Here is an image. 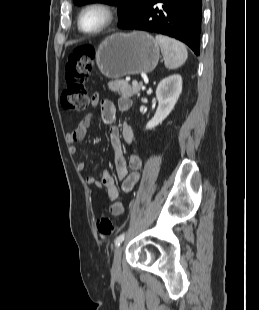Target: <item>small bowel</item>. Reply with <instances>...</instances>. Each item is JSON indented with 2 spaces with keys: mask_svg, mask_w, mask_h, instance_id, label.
<instances>
[{
  "mask_svg": "<svg viewBox=\"0 0 259 310\" xmlns=\"http://www.w3.org/2000/svg\"><path fill=\"white\" fill-rule=\"evenodd\" d=\"M98 105L100 106L103 122L105 124H111L116 116L115 104L107 99L100 100L98 94H93L91 98V106L97 107ZM118 107L122 111L128 110L131 107V100L127 97H121L118 100ZM91 120L92 114L89 113L74 130L67 133L66 140L72 154L77 152L76 144L85 139ZM122 139L127 144H132L134 141L132 129L126 124H123L120 128L114 125L110 126L109 140L114 152L117 177L121 181V190L124 193H129L140 180L142 160L134 153L129 155L128 160L125 159ZM77 168L82 171L85 168L84 162H78ZM85 181L89 185H95L99 188L104 187L106 189L108 199L111 202L110 210L113 215L119 216L124 212L125 205L123 202L119 201V188L117 187L113 176L107 169H102L99 179L93 175H88L85 177Z\"/></svg>",
  "mask_w": 259,
  "mask_h": 310,
  "instance_id": "obj_1",
  "label": "small bowel"
}]
</instances>
